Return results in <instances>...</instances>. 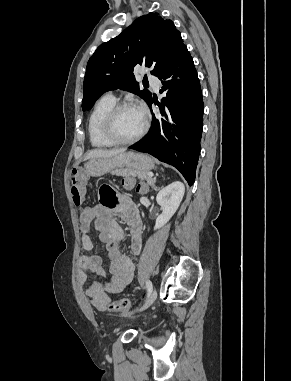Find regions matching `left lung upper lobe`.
Listing matches in <instances>:
<instances>
[{
	"instance_id": "1",
	"label": "left lung upper lobe",
	"mask_w": 291,
	"mask_h": 381,
	"mask_svg": "<svg viewBox=\"0 0 291 381\" xmlns=\"http://www.w3.org/2000/svg\"><path fill=\"white\" fill-rule=\"evenodd\" d=\"M186 48L173 21L158 13L139 17L117 37L103 43L89 59L84 79L83 111L92 108L106 91L123 89L140 96L149 104L150 91L139 88L133 69L151 68L159 77Z\"/></svg>"
}]
</instances>
